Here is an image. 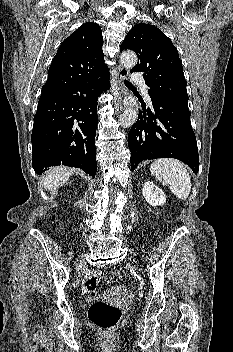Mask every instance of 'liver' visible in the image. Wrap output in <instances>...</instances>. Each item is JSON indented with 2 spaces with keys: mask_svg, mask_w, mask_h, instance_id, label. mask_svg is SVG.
I'll return each mask as SVG.
<instances>
[{
  "mask_svg": "<svg viewBox=\"0 0 233 352\" xmlns=\"http://www.w3.org/2000/svg\"><path fill=\"white\" fill-rule=\"evenodd\" d=\"M72 173V169L63 166L50 168L44 176L43 186L48 191L56 190L68 181Z\"/></svg>",
  "mask_w": 233,
  "mask_h": 352,
  "instance_id": "1",
  "label": "liver"
}]
</instances>
